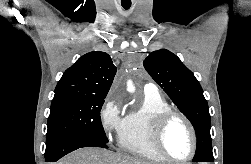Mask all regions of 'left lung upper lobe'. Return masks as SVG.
I'll return each instance as SVG.
<instances>
[{
  "label": "left lung upper lobe",
  "instance_id": "1",
  "mask_svg": "<svg viewBox=\"0 0 251 164\" xmlns=\"http://www.w3.org/2000/svg\"><path fill=\"white\" fill-rule=\"evenodd\" d=\"M143 64L150 76L194 126L197 135V150L193 160H214L209 108L194 74L175 54L166 49L152 52Z\"/></svg>",
  "mask_w": 251,
  "mask_h": 164
}]
</instances>
